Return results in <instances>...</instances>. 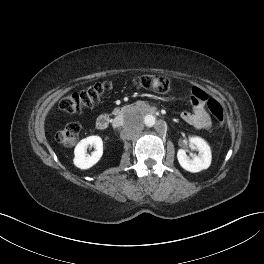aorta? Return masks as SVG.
Listing matches in <instances>:
<instances>
[{"label": "aorta", "instance_id": "aorta-1", "mask_svg": "<svg viewBox=\"0 0 264 264\" xmlns=\"http://www.w3.org/2000/svg\"><path fill=\"white\" fill-rule=\"evenodd\" d=\"M143 123L147 127H153L156 124V118H155V116L148 114V115L144 116Z\"/></svg>", "mask_w": 264, "mask_h": 264}]
</instances>
